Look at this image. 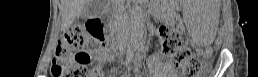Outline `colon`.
<instances>
[{"mask_svg":"<svg viewBox=\"0 0 258 77\" xmlns=\"http://www.w3.org/2000/svg\"><path fill=\"white\" fill-rule=\"evenodd\" d=\"M90 34V33H89ZM162 48L169 55L172 62L183 69L187 77L199 76L205 65L185 48L178 34L160 26L157 30ZM104 37L102 26L88 37L82 26L76 24L69 28L62 36L52 60L51 73L53 77H89V64L92 60L88 52L89 46Z\"/></svg>","mask_w":258,"mask_h":77,"instance_id":"5ec220e1","label":"colon"}]
</instances>
